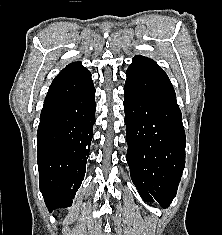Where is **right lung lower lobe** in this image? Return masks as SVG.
I'll list each match as a JSON object with an SVG mask.
<instances>
[{
  "label": "right lung lower lobe",
  "instance_id": "obj_1",
  "mask_svg": "<svg viewBox=\"0 0 222 235\" xmlns=\"http://www.w3.org/2000/svg\"><path fill=\"white\" fill-rule=\"evenodd\" d=\"M95 110V88L87 69L53 80L37 131L40 191L50 211L71 206L84 179Z\"/></svg>",
  "mask_w": 222,
  "mask_h": 235
}]
</instances>
